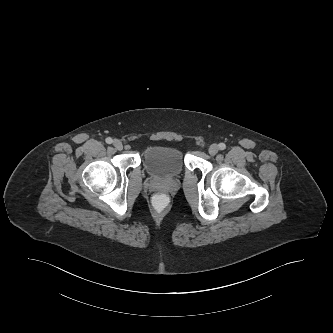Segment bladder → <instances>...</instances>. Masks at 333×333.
Segmentation results:
<instances>
[{
    "mask_svg": "<svg viewBox=\"0 0 333 333\" xmlns=\"http://www.w3.org/2000/svg\"><path fill=\"white\" fill-rule=\"evenodd\" d=\"M146 171L160 178H173L182 173L185 160L182 152L174 147L153 146L142 157Z\"/></svg>",
    "mask_w": 333,
    "mask_h": 333,
    "instance_id": "31cf9c89",
    "label": "bladder"
}]
</instances>
